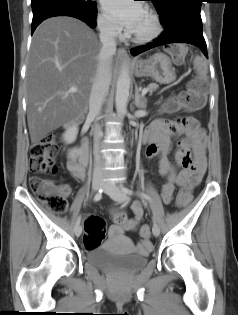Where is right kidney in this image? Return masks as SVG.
<instances>
[{
	"label": "right kidney",
	"instance_id": "obj_1",
	"mask_svg": "<svg viewBox=\"0 0 238 315\" xmlns=\"http://www.w3.org/2000/svg\"><path fill=\"white\" fill-rule=\"evenodd\" d=\"M77 134L78 126H72L65 131V133L63 134V139L66 143H73L76 140ZM70 154L73 158H76L80 156L81 151L80 149L75 148L71 150Z\"/></svg>",
	"mask_w": 238,
	"mask_h": 315
}]
</instances>
